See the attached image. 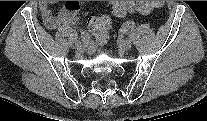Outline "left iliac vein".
I'll return each mask as SVG.
<instances>
[{
    "label": "left iliac vein",
    "mask_w": 207,
    "mask_h": 121,
    "mask_svg": "<svg viewBox=\"0 0 207 121\" xmlns=\"http://www.w3.org/2000/svg\"><path fill=\"white\" fill-rule=\"evenodd\" d=\"M131 46H132V42L128 39L122 40L120 43V47L123 50H129L131 48Z\"/></svg>",
    "instance_id": "4c4485c4"
}]
</instances>
